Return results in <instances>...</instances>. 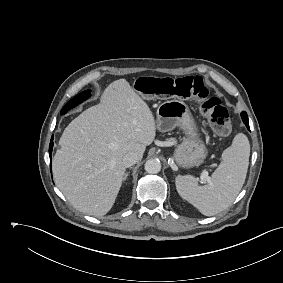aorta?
Listing matches in <instances>:
<instances>
[{"instance_id": "762f6f07", "label": "aorta", "mask_w": 283, "mask_h": 283, "mask_svg": "<svg viewBox=\"0 0 283 283\" xmlns=\"http://www.w3.org/2000/svg\"><path fill=\"white\" fill-rule=\"evenodd\" d=\"M161 170V163L156 159H149L145 163V171L149 174H157Z\"/></svg>"}]
</instances>
